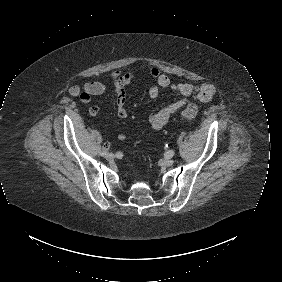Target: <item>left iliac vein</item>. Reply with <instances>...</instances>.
Masks as SVG:
<instances>
[{
    "label": "left iliac vein",
    "mask_w": 282,
    "mask_h": 282,
    "mask_svg": "<svg viewBox=\"0 0 282 282\" xmlns=\"http://www.w3.org/2000/svg\"><path fill=\"white\" fill-rule=\"evenodd\" d=\"M173 163H174V160L171 157H166L163 160V165L166 166V167L172 166Z\"/></svg>",
    "instance_id": "1"
}]
</instances>
